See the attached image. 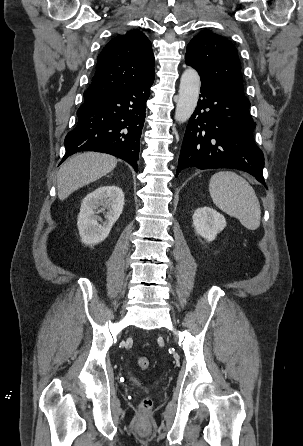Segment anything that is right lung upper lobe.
Returning a JSON list of instances; mask_svg holds the SVG:
<instances>
[{"label":"right lung upper lobe","instance_id":"1","mask_svg":"<svg viewBox=\"0 0 303 446\" xmlns=\"http://www.w3.org/2000/svg\"><path fill=\"white\" fill-rule=\"evenodd\" d=\"M97 60L92 83L84 92L85 100L154 78L151 42L138 30L114 37Z\"/></svg>","mask_w":303,"mask_h":446}]
</instances>
